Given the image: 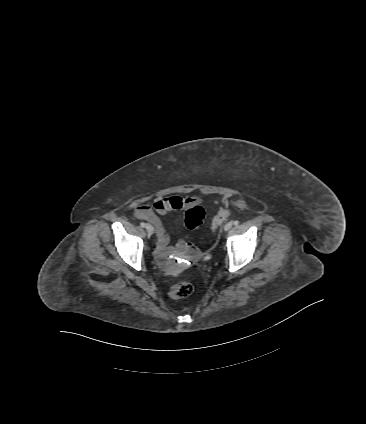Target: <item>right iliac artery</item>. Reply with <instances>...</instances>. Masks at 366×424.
Here are the masks:
<instances>
[{"mask_svg":"<svg viewBox=\"0 0 366 424\" xmlns=\"http://www.w3.org/2000/svg\"><path fill=\"white\" fill-rule=\"evenodd\" d=\"M140 225H141V227H145L146 226V224L144 222H142Z\"/></svg>","mask_w":366,"mask_h":424,"instance_id":"1","label":"right iliac artery"}]
</instances>
